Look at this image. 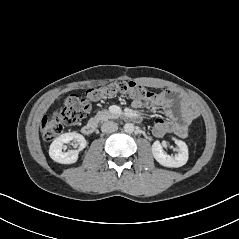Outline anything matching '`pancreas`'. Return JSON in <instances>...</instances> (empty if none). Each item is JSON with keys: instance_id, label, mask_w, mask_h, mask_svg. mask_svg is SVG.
<instances>
[{"instance_id": "1", "label": "pancreas", "mask_w": 239, "mask_h": 239, "mask_svg": "<svg viewBox=\"0 0 239 239\" xmlns=\"http://www.w3.org/2000/svg\"><path fill=\"white\" fill-rule=\"evenodd\" d=\"M115 118V115L109 112L108 110H102L97 113L94 119L98 122H102L108 119Z\"/></svg>"}]
</instances>
